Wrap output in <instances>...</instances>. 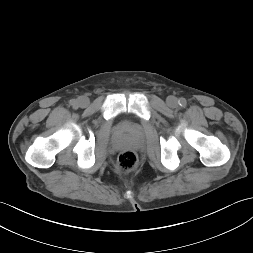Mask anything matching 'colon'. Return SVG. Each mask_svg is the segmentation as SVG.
<instances>
[{
    "label": "colon",
    "mask_w": 253,
    "mask_h": 253,
    "mask_svg": "<svg viewBox=\"0 0 253 253\" xmlns=\"http://www.w3.org/2000/svg\"><path fill=\"white\" fill-rule=\"evenodd\" d=\"M137 162V154L134 151L125 150L118 155L117 168L121 173H129L136 167Z\"/></svg>",
    "instance_id": "1"
}]
</instances>
